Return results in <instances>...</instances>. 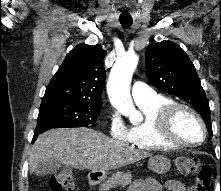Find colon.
I'll return each instance as SVG.
<instances>
[{
    "label": "colon",
    "mask_w": 221,
    "mask_h": 191,
    "mask_svg": "<svg viewBox=\"0 0 221 191\" xmlns=\"http://www.w3.org/2000/svg\"><path fill=\"white\" fill-rule=\"evenodd\" d=\"M179 172L184 175L196 174L193 184L188 187V191H206L210 184L211 172L202 166L199 159L195 157H180L176 161ZM75 178L72 171L62 169L52 175L50 180L51 191H72Z\"/></svg>",
    "instance_id": "1"
}]
</instances>
